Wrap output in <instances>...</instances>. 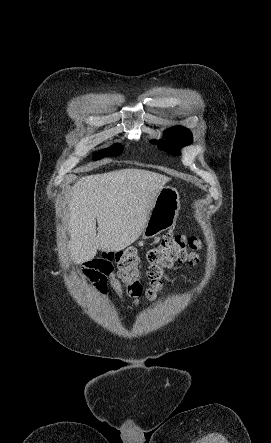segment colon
Wrapping results in <instances>:
<instances>
[{
	"label": "colon",
	"instance_id": "obj_1",
	"mask_svg": "<svg viewBox=\"0 0 271 443\" xmlns=\"http://www.w3.org/2000/svg\"><path fill=\"white\" fill-rule=\"evenodd\" d=\"M200 241L195 237L185 235H165L160 244L147 253L149 266L147 276L149 288L143 289L140 283V256L135 249L127 248L103 253L99 260L109 263L115 261L118 267V277L125 284V291L134 300L142 297L154 299L163 285L166 271L176 263L194 265L198 261Z\"/></svg>",
	"mask_w": 271,
	"mask_h": 443
}]
</instances>
